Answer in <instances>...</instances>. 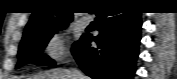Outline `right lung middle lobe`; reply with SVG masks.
<instances>
[{
	"label": "right lung middle lobe",
	"instance_id": "obj_1",
	"mask_svg": "<svg viewBox=\"0 0 177 79\" xmlns=\"http://www.w3.org/2000/svg\"><path fill=\"white\" fill-rule=\"evenodd\" d=\"M67 25L39 30L28 37L22 38L18 52L19 62L16 67L19 68L28 63H34L38 66L55 65L54 60L44 56L42 51L53 36L54 32L65 29ZM77 42H75L73 48Z\"/></svg>",
	"mask_w": 177,
	"mask_h": 79
}]
</instances>
